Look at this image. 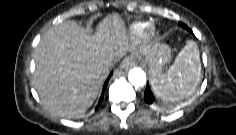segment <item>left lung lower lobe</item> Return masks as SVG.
Returning a JSON list of instances; mask_svg holds the SVG:
<instances>
[{
    "instance_id": "obj_1",
    "label": "left lung lower lobe",
    "mask_w": 236,
    "mask_h": 135,
    "mask_svg": "<svg viewBox=\"0 0 236 135\" xmlns=\"http://www.w3.org/2000/svg\"><path fill=\"white\" fill-rule=\"evenodd\" d=\"M179 25H180L182 28L187 29L189 32L192 33L191 29H189L185 24H183V23L180 22ZM144 101H145L147 104H149V105H151V104H153V103L156 102V99L154 98V96H153V94H152V92H151V90H150L148 84H147L146 90H145V92H144Z\"/></svg>"
}]
</instances>
